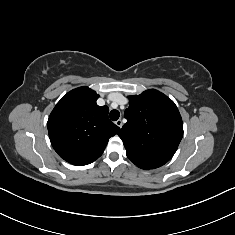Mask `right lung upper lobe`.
I'll use <instances>...</instances> for the list:
<instances>
[{"instance_id": "cb5924a9", "label": "right lung upper lobe", "mask_w": 235, "mask_h": 235, "mask_svg": "<svg viewBox=\"0 0 235 235\" xmlns=\"http://www.w3.org/2000/svg\"><path fill=\"white\" fill-rule=\"evenodd\" d=\"M99 95L87 87L68 92L51 112L47 128L58 155L73 165L98 159L110 137L120 128L108 118L107 106H98Z\"/></svg>"}]
</instances>
